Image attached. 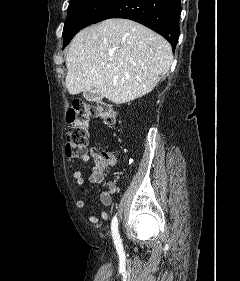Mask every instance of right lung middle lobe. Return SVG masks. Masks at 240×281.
<instances>
[{
  "label": "right lung middle lobe",
  "instance_id": "obj_1",
  "mask_svg": "<svg viewBox=\"0 0 240 281\" xmlns=\"http://www.w3.org/2000/svg\"><path fill=\"white\" fill-rule=\"evenodd\" d=\"M116 0H70L63 29L64 46L82 28L92 24Z\"/></svg>",
  "mask_w": 240,
  "mask_h": 281
}]
</instances>
